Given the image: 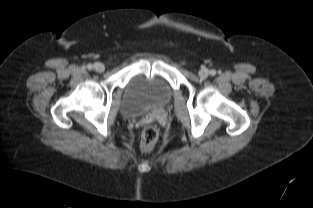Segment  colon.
Instances as JSON below:
<instances>
[{
  "instance_id": "5ec220e1",
  "label": "colon",
  "mask_w": 313,
  "mask_h": 208,
  "mask_svg": "<svg viewBox=\"0 0 313 208\" xmlns=\"http://www.w3.org/2000/svg\"><path fill=\"white\" fill-rule=\"evenodd\" d=\"M159 137V130L154 125L146 126L141 133L140 147L144 152H150L155 144L157 143Z\"/></svg>"
}]
</instances>
